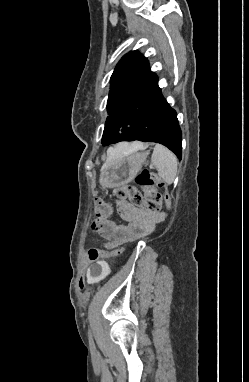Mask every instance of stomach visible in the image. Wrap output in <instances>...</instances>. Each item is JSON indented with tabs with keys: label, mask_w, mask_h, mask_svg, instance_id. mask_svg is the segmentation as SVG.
I'll return each mask as SVG.
<instances>
[{
	"label": "stomach",
	"mask_w": 249,
	"mask_h": 382,
	"mask_svg": "<svg viewBox=\"0 0 249 382\" xmlns=\"http://www.w3.org/2000/svg\"><path fill=\"white\" fill-rule=\"evenodd\" d=\"M148 151H135L113 158L101 170L99 183L103 188H114L131 182L145 163Z\"/></svg>",
	"instance_id": "stomach-1"
}]
</instances>
